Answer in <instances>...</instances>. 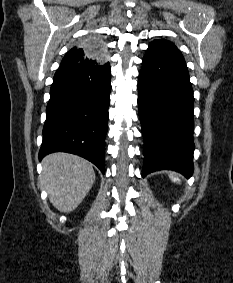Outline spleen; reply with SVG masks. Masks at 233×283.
Instances as JSON below:
<instances>
[{
  "instance_id": "obj_1",
  "label": "spleen",
  "mask_w": 233,
  "mask_h": 283,
  "mask_svg": "<svg viewBox=\"0 0 233 283\" xmlns=\"http://www.w3.org/2000/svg\"><path fill=\"white\" fill-rule=\"evenodd\" d=\"M170 179H171L173 182H180L179 178L173 176L172 174L170 175Z\"/></svg>"
}]
</instances>
